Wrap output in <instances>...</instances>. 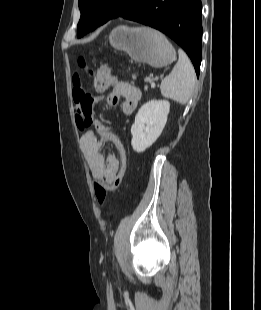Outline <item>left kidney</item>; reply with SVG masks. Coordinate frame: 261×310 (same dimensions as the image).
<instances>
[{
	"label": "left kidney",
	"mask_w": 261,
	"mask_h": 310,
	"mask_svg": "<svg viewBox=\"0 0 261 310\" xmlns=\"http://www.w3.org/2000/svg\"><path fill=\"white\" fill-rule=\"evenodd\" d=\"M169 109L166 100H151L139 109L131 127L134 151L141 153L152 146L166 125Z\"/></svg>",
	"instance_id": "5707ae66"
}]
</instances>
